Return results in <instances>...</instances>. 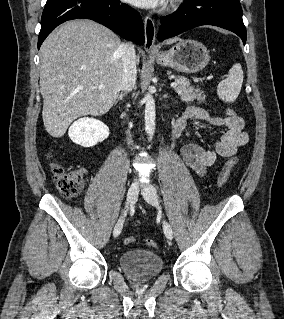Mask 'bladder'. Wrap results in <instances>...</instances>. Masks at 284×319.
<instances>
[{
    "instance_id": "31cf9c89",
    "label": "bladder",
    "mask_w": 284,
    "mask_h": 319,
    "mask_svg": "<svg viewBox=\"0 0 284 319\" xmlns=\"http://www.w3.org/2000/svg\"><path fill=\"white\" fill-rule=\"evenodd\" d=\"M119 265L129 278L144 282L153 279L162 271L163 260L153 251L131 249L120 255Z\"/></svg>"
}]
</instances>
